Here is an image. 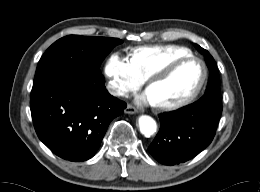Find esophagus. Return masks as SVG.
Segmentation results:
<instances>
[{
    "instance_id": "1",
    "label": "esophagus",
    "mask_w": 260,
    "mask_h": 192,
    "mask_svg": "<svg viewBox=\"0 0 260 192\" xmlns=\"http://www.w3.org/2000/svg\"><path fill=\"white\" fill-rule=\"evenodd\" d=\"M127 109H128V112H129V113H134V112L137 111V109H136L134 106H132V105H129V106L127 107Z\"/></svg>"
}]
</instances>
